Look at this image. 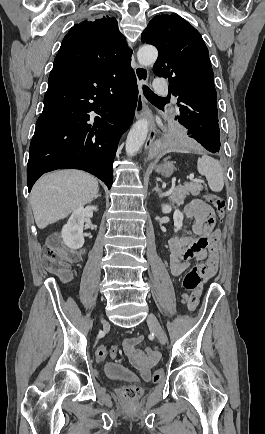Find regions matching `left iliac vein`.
<instances>
[{
  "mask_svg": "<svg viewBox=\"0 0 265 434\" xmlns=\"http://www.w3.org/2000/svg\"><path fill=\"white\" fill-rule=\"evenodd\" d=\"M147 324L149 325L151 330L154 332V334L156 335L159 342L161 344L165 345L167 343L166 334H165L163 328L161 327L157 317L153 313H149V315L147 317Z\"/></svg>",
  "mask_w": 265,
  "mask_h": 434,
  "instance_id": "obj_1",
  "label": "left iliac vein"
}]
</instances>
